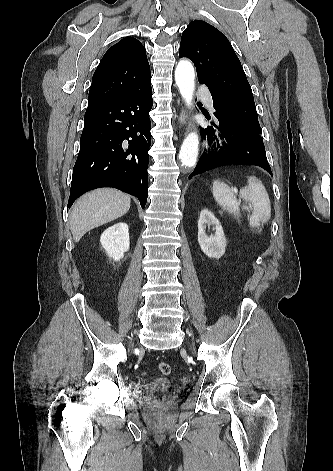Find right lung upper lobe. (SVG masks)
I'll list each match as a JSON object with an SVG mask.
<instances>
[{"instance_id": "cb5924a9", "label": "right lung upper lobe", "mask_w": 333, "mask_h": 471, "mask_svg": "<svg viewBox=\"0 0 333 471\" xmlns=\"http://www.w3.org/2000/svg\"><path fill=\"white\" fill-rule=\"evenodd\" d=\"M150 78L144 46L126 37L110 47L98 65L89 91L88 107L122 96Z\"/></svg>"}]
</instances>
